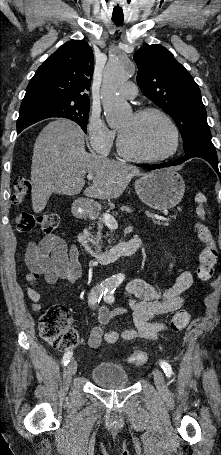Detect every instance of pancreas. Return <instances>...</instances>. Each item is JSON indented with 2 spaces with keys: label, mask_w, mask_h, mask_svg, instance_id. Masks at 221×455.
<instances>
[{
  "label": "pancreas",
  "mask_w": 221,
  "mask_h": 455,
  "mask_svg": "<svg viewBox=\"0 0 221 455\" xmlns=\"http://www.w3.org/2000/svg\"><path fill=\"white\" fill-rule=\"evenodd\" d=\"M104 220H103V215L101 216H98V221H97V225H98V232L97 234L92 237L91 239V243L92 245L94 246V249L96 252H100L101 251V248H102V230H103V225H104ZM156 224L158 225H164V226H168L169 223L167 221H155Z\"/></svg>",
  "instance_id": "obj_1"
}]
</instances>
